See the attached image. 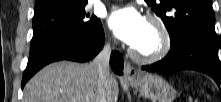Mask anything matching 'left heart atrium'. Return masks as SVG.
I'll list each match as a JSON object with an SVG mask.
<instances>
[{"instance_id": "left-heart-atrium-1", "label": "left heart atrium", "mask_w": 221, "mask_h": 102, "mask_svg": "<svg viewBox=\"0 0 221 102\" xmlns=\"http://www.w3.org/2000/svg\"><path fill=\"white\" fill-rule=\"evenodd\" d=\"M108 24L116 37L134 46L144 32L146 19L135 8H123L109 15Z\"/></svg>"}]
</instances>
